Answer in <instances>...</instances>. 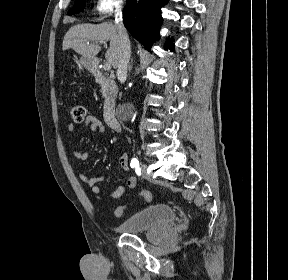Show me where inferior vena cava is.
I'll return each instance as SVG.
<instances>
[{"instance_id": "obj_1", "label": "inferior vena cava", "mask_w": 288, "mask_h": 280, "mask_svg": "<svg viewBox=\"0 0 288 280\" xmlns=\"http://www.w3.org/2000/svg\"><path fill=\"white\" fill-rule=\"evenodd\" d=\"M115 25L120 38V53L118 56L117 76L119 79L127 77V68L131 55L130 41L122 21V6L116 8Z\"/></svg>"}]
</instances>
